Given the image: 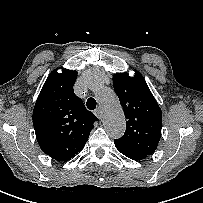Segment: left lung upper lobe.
<instances>
[{"mask_svg": "<svg viewBox=\"0 0 203 203\" xmlns=\"http://www.w3.org/2000/svg\"><path fill=\"white\" fill-rule=\"evenodd\" d=\"M113 85L127 119L125 134L115 143L147 157L160 141L161 109L139 72L135 71L133 77L117 73Z\"/></svg>", "mask_w": 203, "mask_h": 203, "instance_id": "obj_1", "label": "left lung upper lobe"}]
</instances>
